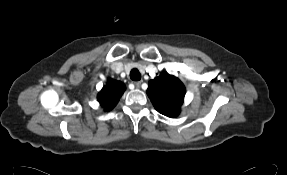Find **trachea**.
Segmentation results:
<instances>
[{
    "mask_svg": "<svg viewBox=\"0 0 287 175\" xmlns=\"http://www.w3.org/2000/svg\"><path fill=\"white\" fill-rule=\"evenodd\" d=\"M130 78L133 81H139L141 79V74L138 69H132L130 72Z\"/></svg>",
    "mask_w": 287,
    "mask_h": 175,
    "instance_id": "trachea-1",
    "label": "trachea"
}]
</instances>
